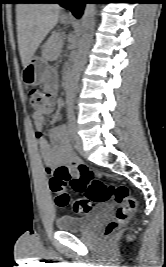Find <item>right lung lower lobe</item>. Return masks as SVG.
I'll return each instance as SVG.
<instances>
[{
  "instance_id": "1",
  "label": "right lung lower lobe",
  "mask_w": 166,
  "mask_h": 267,
  "mask_svg": "<svg viewBox=\"0 0 166 267\" xmlns=\"http://www.w3.org/2000/svg\"><path fill=\"white\" fill-rule=\"evenodd\" d=\"M52 0H27L28 3H49Z\"/></svg>"
}]
</instances>
